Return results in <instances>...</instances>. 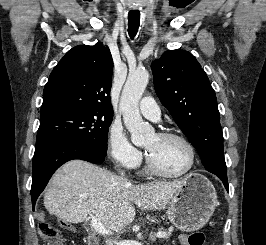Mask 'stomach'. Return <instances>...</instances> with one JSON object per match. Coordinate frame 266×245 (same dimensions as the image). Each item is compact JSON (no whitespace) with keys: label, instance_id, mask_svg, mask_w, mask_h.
Masks as SVG:
<instances>
[{"label":"stomach","instance_id":"1","mask_svg":"<svg viewBox=\"0 0 266 245\" xmlns=\"http://www.w3.org/2000/svg\"><path fill=\"white\" fill-rule=\"evenodd\" d=\"M217 205V193L209 179L199 173H189L183 179L182 189H178L163 209L174 227L191 233L208 223Z\"/></svg>","mask_w":266,"mask_h":245}]
</instances>
